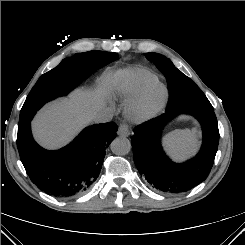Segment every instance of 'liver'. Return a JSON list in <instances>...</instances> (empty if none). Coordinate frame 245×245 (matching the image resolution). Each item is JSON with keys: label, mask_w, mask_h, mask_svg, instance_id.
<instances>
[{"label": "liver", "mask_w": 245, "mask_h": 245, "mask_svg": "<svg viewBox=\"0 0 245 245\" xmlns=\"http://www.w3.org/2000/svg\"><path fill=\"white\" fill-rule=\"evenodd\" d=\"M111 82L112 75L104 73L95 90H76L69 98L45 106L32 122L36 140L49 149L68 143L103 110L105 97L110 94Z\"/></svg>", "instance_id": "obj_1"}]
</instances>
